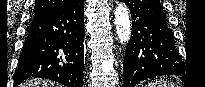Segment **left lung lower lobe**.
I'll use <instances>...</instances> for the list:
<instances>
[{
	"label": "left lung lower lobe",
	"mask_w": 205,
	"mask_h": 87,
	"mask_svg": "<svg viewBox=\"0 0 205 87\" xmlns=\"http://www.w3.org/2000/svg\"><path fill=\"white\" fill-rule=\"evenodd\" d=\"M130 8L132 33L123 63L124 87L161 75H182L184 64L159 0H123Z\"/></svg>",
	"instance_id": "0a47b994"
}]
</instances>
